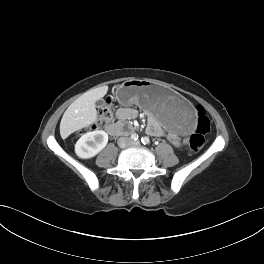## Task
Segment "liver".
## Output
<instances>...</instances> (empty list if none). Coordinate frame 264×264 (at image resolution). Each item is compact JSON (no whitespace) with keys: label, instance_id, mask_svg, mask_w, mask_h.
I'll list each match as a JSON object with an SVG mask.
<instances>
[{"label":"liver","instance_id":"6515ba94","mask_svg":"<svg viewBox=\"0 0 264 264\" xmlns=\"http://www.w3.org/2000/svg\"><path fill=\"white\" fill-rule=\"evenodd\" d=\"M107 91L108 86L91 89L67 108L60 123V134L63 139L95 122L97 118L95 102L104 97Z\"/></svg>","mask_w":264,"mask_h":264}]
</instances>
